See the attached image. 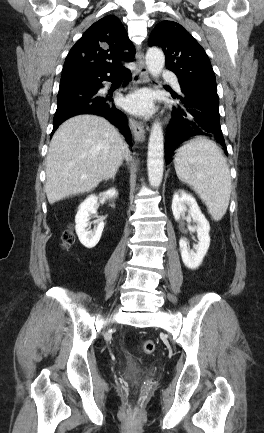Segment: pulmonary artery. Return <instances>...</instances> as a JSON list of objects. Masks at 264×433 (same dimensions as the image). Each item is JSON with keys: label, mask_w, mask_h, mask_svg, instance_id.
I'll return each instance as SVG.
<instances>
[{"label": "pulmonary artery", "mask_w": 264, "mask_h": 433, "mask_svg": "<svg viewBox=\"0 0 264 433\" xmlns=\"http://www.w3.org/2000/svg\"><path fill=\"white\" fill-rule=\"evenodd\" d=\"M162 77L164 79H171L172 78V74L166 70L162 71ZM172 85L175 89L180 90V85L178 83L177 80H172Z\"/></svg>", "instance_id": "obj_1"}]
</instances>
